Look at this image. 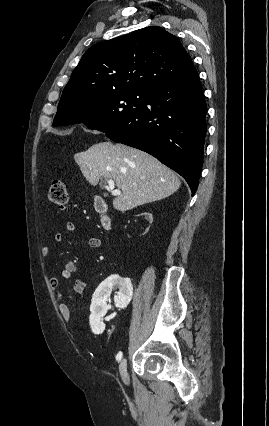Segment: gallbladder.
Returning a JSON list of instances; mask_svg holds the SVG:
<instances>
[{
    "mask_svg": "<svg viewBox=\"0 0 269 426\" xmlns=\"http://www.w3.org/2000/svg\"><path fill=\"white\" fill-rule=\"evenodd\" d=\"M104 184H105L104 182H100V185H101V186H104Z\"/></svg>",
    "mask_w": 269,
    "mask_h": 426,
    "instance_id": "bac80fb5",
    "label": "gallbladder"
}]
</instances>
